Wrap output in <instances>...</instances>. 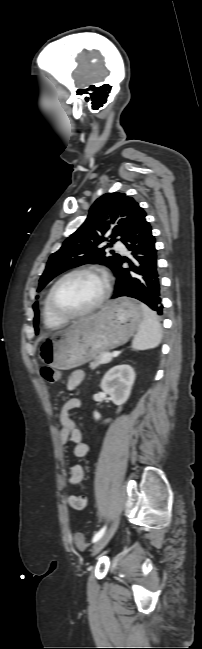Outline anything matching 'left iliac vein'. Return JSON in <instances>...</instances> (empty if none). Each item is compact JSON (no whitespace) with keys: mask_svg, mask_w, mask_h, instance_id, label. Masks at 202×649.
I'll return each mask as SVG.
<instances>
[{"mask_svg":"<svg viewBox=\"0 0 202 649\" xmlns=\"http://www.w3.org/2000/svg\"><path fill=\"white\" fill-rule=\"evenodd\" d=\"M120 518H117L110 526L109 530L95 543L93 546L92 556L96 555L112 538L118 525Z\"/></svg>","mask_w":202,"mask_h":649,"instance_id":"4c4485c4","label":"left iliac vein"}]
</instances>
